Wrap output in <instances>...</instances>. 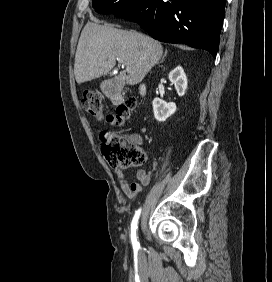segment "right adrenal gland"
<instances>
[{
    "label": "right adrenal gland",
    "instance_id": "obj_1",
    "mask_svg": "<svg viewBox=\"0 0 272 282\" xmlns=\"http://www.w3.org/2000/svg\"><path fill=\"white\" fill-rule=\"evenodd\" d=\"M166 54H167V51H165L164 55L162 56L161 62L164 60Z\"/></svg>",
    "mask_w": 272,
    "mask_h": 282
}]
</instances>
